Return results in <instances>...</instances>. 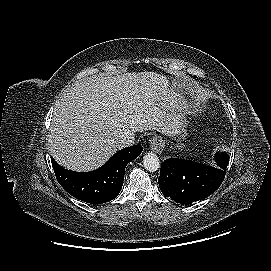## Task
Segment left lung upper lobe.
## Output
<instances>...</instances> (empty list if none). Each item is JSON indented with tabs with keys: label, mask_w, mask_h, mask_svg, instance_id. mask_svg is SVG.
<instances>
[{
	"label": "left lung upper lobe",
	"mask_w": 271,
	"mask_h": 271,
	"mask_svg": "<svg viewBox=\"0 0 271 271\" xmlns=\"http://www.w3.org/2000/svg\"><path fill=\"white\" fill-rule=\"evenodd\" d=\"M216 159L219 160V161L222 160V159H224L223 161L227 162L226 164H228V156L225 153H222V154L217 153L216 154Z\"/></svg>",
	"instance_id": "5c2ea615"
}]
</instances>
